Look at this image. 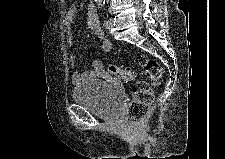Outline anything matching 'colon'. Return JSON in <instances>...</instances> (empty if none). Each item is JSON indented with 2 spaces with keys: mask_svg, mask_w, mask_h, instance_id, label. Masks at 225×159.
<instances>
[{
  "mask_svg": "<svg viewBox=\"0 0 225 159\" xmlns=\"http://www.w3.org/2000/svg\"><path fill=\"white\" fill-rule=\"evenodd\" d=\"M138 63L149 81H137L133 85V98L125 111V121L132 126H139L147 116L154 98V86L161 80L162 67L154 59L141 56ZM107 73L114 79L132 81L135 73L129 68L109 64Z\"/></svg>",
  "mask_w": 225,
  "mask_h": 159,
  "instance_id": "colon-1",
  "label": "colon"
}]
</instances>
